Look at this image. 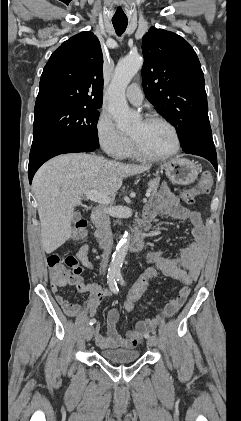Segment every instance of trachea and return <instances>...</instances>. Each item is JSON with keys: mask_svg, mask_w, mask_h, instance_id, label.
Masks as SVG:
<instances>
[{"mask_svg": "<svg viewBox=\"0 0 241 421\" xmlns=\"http://www.w3.org/2000/svg\"><path fill=\"white\" fill-rule=\"evenodd\" d=\"M112 23L116 30V33L118 35H121L123 34V32L125 31L127 27L128 20L127 19H112Z\"/></svg>", "mask_w": 241, "mask_h": 421, "instance_id": "3493384b", "label": "trachea"}]
</instances>
